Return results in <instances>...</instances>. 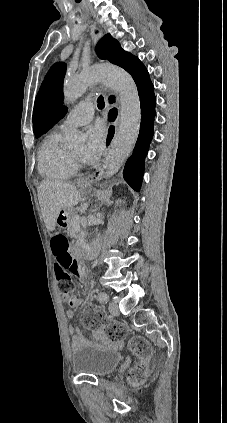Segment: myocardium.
<instances>
[{"mask_svg":"<svg viewBox=\"0 0 227 423\" xmlns=\"http://www.w3.org/2000/svg\"><path fill=\"white\" fill-rule=\"evenodd\" d=\"M73 157H74L76 160H80V159H81L79 156H76L75 154L73 155Z\"/></svg>","mask_w":227,"mask_h":423,"instance_id":"obj_1","label":"myocardium"}]
</instances>
